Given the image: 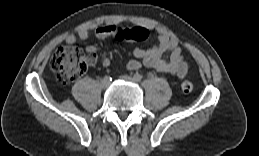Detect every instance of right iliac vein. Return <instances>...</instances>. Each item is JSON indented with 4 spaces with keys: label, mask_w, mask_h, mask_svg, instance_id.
I'll use <instances>...</instances> for the list:
<instances>
[{
    "label": "right iliac vein",
    "mask_w": 259,
    "mask_h": 156,
    "mask_svg": "<svg viewBox=\"0 0 259 156\" xmlns=\"http://www.w3.org/2000/svg\"><path fill=\"white\" fill-rule=\"evenodd\" d=\"M109 84H110V81H109V80L103 79V80L101 81V86H102V88H107V87L109 86Z\"/></svg>",
    "instance_id": "right-iliac-vein-1"
}]
</instances>
